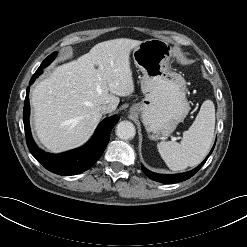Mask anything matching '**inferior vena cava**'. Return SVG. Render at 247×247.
<instances>
[{"label":"inferior vena cava","mask_w":247,"mask_h":247,"mask_svg":"<svg viewBox=\"0 0 247 247\" xmlns=\"http://www.w3.org/2000/svg\"><path fill=\"white\" fill-rule=\"evenodd\" d=\"M100 111L102 114H106L112 112L113 108L110 104H104L100 106Z\"/></svg>","instance_id":"1"}]
</instances>
